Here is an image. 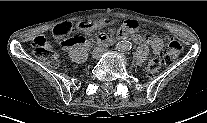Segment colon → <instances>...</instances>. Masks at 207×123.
<instances>
[{
    "mask_svg": "<svg viewBox=\"0 0 207 123\" xmlns=\"http://www.w3.org/2000/svg\"><path fill=\"white\" fill-rule=\"evenodd\" d=\"M126 22V21H125ZM73 27L70 23H61L54 30V36L61 42L63 46H70L80 41L79 37H71ZM32 48L35 56L49 65L56 66L58 64L57 56L52 51L51 45L44 35H38L33 39ZM183 51L182 44L170 39L168 49L162 56H154L147 65L149 73L158 72L163 66L173 65Z\"/></svg>",
    "mask_w": 207,
    "mask_h": 123,
    "instance_id": "colon-1",
    "label": "colon"
}]
</instances>
